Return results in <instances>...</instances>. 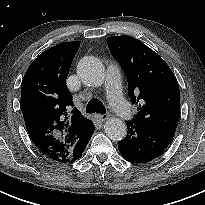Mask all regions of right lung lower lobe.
Masks as SVG:
<instances>
[{"label":"right lung lower lobe","instance_id":"obj_1","mask_svg":"<svg viewBox=\"0 0 205 205\" xmlns=\"http://www.w3.org/2000/svg\"><path fill=\"white\" fill-rule=\"evenodd\" d=\"M95 126L92 124V127L75 143L71 150V159L69 163L74 162L75 160L81 158L82 153L84 152L89 140L91 139Z\"/></svg>","mask_w":205,"mask_h":205}]
</instances>
